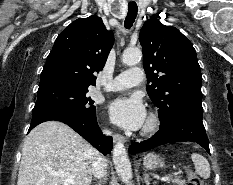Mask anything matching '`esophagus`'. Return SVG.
<instances>
[{"mask_svg":"<svg viewBox=\"0 0 233 185\" xmlns=\"http://www.w3.org/2000/svg\"><path fill=\"white\" fill-rule=\"evenodd\" d=\"M113 140H114L115 143H117V142H124L125 138L121 134H114L113 135Z\"/></svg>","mask_w":233,"mask_h":185,"instance_id":"1","label":"esophagus"}]
</instances>
